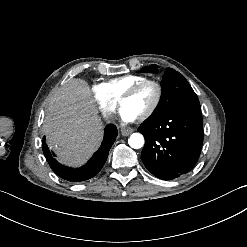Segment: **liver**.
Instances as JSON below:
<instances>
[{
	"mask_svg": "<svg viewBox=\"0 0 247 247\" xmlns=\"http://www.w3.org/2000/svg\"><path fill=\"white\" fill-rule=\"evenodd\" d=\"M103 123L88 83L70 79L55 93L43 124L50 149L61 164L78 167L100 147Z\"/></svg>",
	"mask_w": 247,
	"mask_h": 247,
	"instance_id": "6515ba94",
	"label": "liver"
}]
</instances>
